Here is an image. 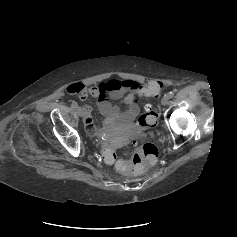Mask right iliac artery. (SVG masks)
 Listing matches in <instances>:
<instances>
[{"mask_svg":"<svg viewBox=\"0 0 237 237\" xmlns=\"http://www.w3.org/2000/svg\"><path fill=\"white\" fill-rule=\"evenodd\" d=\"M71 107L75 109L78 107V104L74 101V102H72Z\"/></svg>","mask_w":237,"mask_h":237,"instance_id":"1","label":"right iliac artery"}]
</instances>
